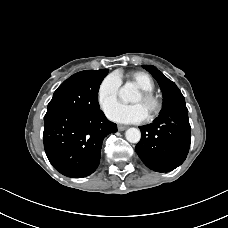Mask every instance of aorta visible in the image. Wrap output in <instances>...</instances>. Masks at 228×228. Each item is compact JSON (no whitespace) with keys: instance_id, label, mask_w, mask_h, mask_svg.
<instances>
[{"instance_id":"1","label":"aorta","mask_w":228,"mask_h":228,"mask_svg":"<svg viewBox=\"0 0 228 228\" xmlns=\"http://www.w3.org/2000/svg\"><path fill=\"white\" fill-rule=\"evenodd\" d=\"M136 93L135 85L127 82L120 88L119 97L123 102L129 103L134 101ZM125 137L130 143H138L141 139V132L137 128H129L125 133Z\"/></svg>"}]
</instances>
